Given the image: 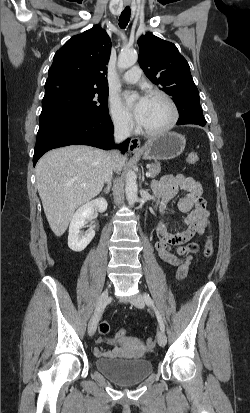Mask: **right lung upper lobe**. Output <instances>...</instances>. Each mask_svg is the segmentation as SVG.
Returning <instances> with one entry per match:
<instances>
[{
  "mask_svg": "<svg viewBox=\"0 0 250 413\" xmlns=\"http://www.w3.org/2000/svg\"><path fill=\"white\" fill-rule=\"evenodd\" d=\"M110 51V38L98 25L71 37L54 55L45 93L64 85L108 89Z\"/></svg>",
  "mask_w": 250,
  "mask_h": 413,
  "instance_id": "cb5924a9",
  "label": "right lung upper lobe"
}]
</instances>
